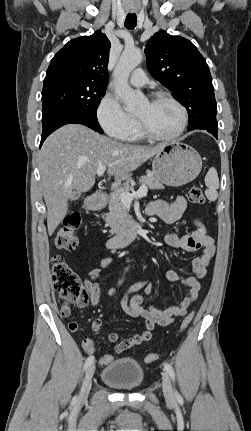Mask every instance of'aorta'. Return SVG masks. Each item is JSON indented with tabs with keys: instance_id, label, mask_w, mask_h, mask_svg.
I'll use <instances>...</instances> for the list:
<instances>
[{
	"instance_id": "762f6f07",
	"label": "aorta",
	"mask_w": 251,
	"mask_h": 431,
	"mask_svg": "<svg viewBox=\"0 0 251 431\" xmlns=\"http://www.w3.org/2000/svg\"><path fill=\"white\" fill-rule=\"evenodd\" d=\"M142 59L143 55L139 49L127 47L114 69L115 93L128 110L140 105V95L130 87L128 80L130 73L141 63Z\"/></svg>"
}]
</instances>
